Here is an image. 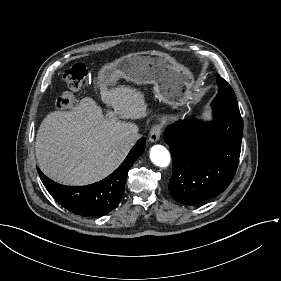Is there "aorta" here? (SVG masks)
Segmentation results:
<instances>
[{"label":"aorta","instance_id":"obj_1","mask_svg":"<svg viewBox=\"0 0 281 281\" xmlns=\"http://www.w3.org/2000/svg\"><path fill=\"white\" fill-rule=\"evenodd\" d=\"M151 161L159 167H167L170 163V154L162 145H154L150 150Z\"/></svg>","mask_w":281,"mask_h":281}]
</instances>
